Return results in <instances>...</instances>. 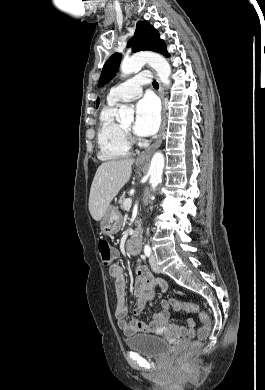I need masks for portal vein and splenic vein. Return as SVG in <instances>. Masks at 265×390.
<instances>
[{
	"label": "portal vein and splenic vein",
	"instance_id": "obj_1",
	"mask_svg": "<svg viewBox=\"0 0 265 390\" xmlns=\"http://www.w3.org/2000/svg\"><path fill=\"white\" fill-rule=\"evenodd\" d=\"M131 204H132V199L131 198L125 199V201H124V206L125 207H131Z\"/></svg>",
	"mask_w": 265,
	"mask_h": 390
}]
</instances>
